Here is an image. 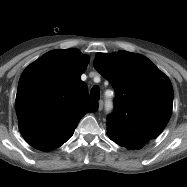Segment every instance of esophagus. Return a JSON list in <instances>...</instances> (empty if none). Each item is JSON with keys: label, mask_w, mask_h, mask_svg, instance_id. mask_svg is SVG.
Here are the masks:
<instances>
[{"label": "esophagus", "mask_w": 187, "mask_h": 187, "mask_svg": "<svg viewBox=\"0 0 187 187\" xmlns=\"http://www.w3.org/2000/svg\"><path fill=\"white\" fill-rule=\"evenodd\" d=\"M102 109H103V101L100 100V101L98 102V110L101 111Z\"/></svg>", "instance_id": "esophagus-1"}]
</instances>
